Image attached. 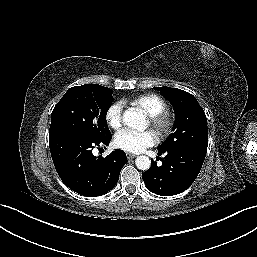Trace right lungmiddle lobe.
Here are the masks:
<instances>
[{
  "instance_id": "obj_1",
  "label": "right lung middle lobe",
  "mask_w": 257,
  "mask_h": 257,
  "mask_svg": "<svg viewBox=\"0 0 257 257\" xmlns=\"http://www.w3.org/2000/svg\"><path fill=\"white\" fill-rule=\"evenodd\" d=\"M112 93L97 84L68 89L52 111L49 136L74 132L98 140L111 137L106 113L113 102Z\"/></svg>"
}]
</instances>
